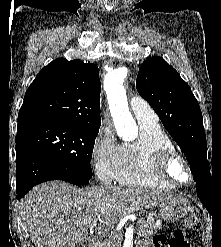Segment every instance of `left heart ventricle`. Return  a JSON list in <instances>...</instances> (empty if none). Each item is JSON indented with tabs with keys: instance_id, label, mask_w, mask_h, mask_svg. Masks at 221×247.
Instances as JSON below:
<instances>
[{
	"instance_id": "left-heart-ventricle-1",
	"label": "left heart ventricle",
	"mask_w": 221,
	"mask_h": 247,
	"mask_svg": "<svg viewBox=\"0 0 221 247\" xmlns=\"http://www.w3.org/2000/svg\"><path fill=\"white\" fill-rule=\"evenodd\" d=\"M172 173L173 175L180 179L181 181L185 182L187 180V176L185 173V169L180 163H175L172 167Z\"/></svg>"
}]
</instances>
